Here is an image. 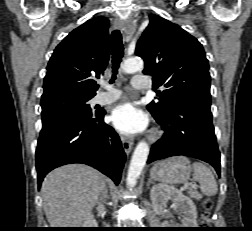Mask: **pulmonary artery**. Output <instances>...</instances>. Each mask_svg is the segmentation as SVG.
<instances>
[{
  "instance_id": "pulmonary-artery-1",
  "label": "pulmonary artery",
  "mask_w": 252,
  "mask_h": 231,
  "mask_svg": "<svg viewBox=\"0 0 252 231\" xmlns=\"http://www.w3.org/2000/svg\"><path fill=\"white\" fill-rule=\"evenodd\" d=\"M101 86L104 88H107V91L99 92L94 97L93 101L95 104H100V105L110 104L120 98L121 96L120 90L116 88H112V87H107L104 83H101ZM132 86L137 89H144L150 86V82L145 75L137 74L132 79Z\"/></svg>"
}]
</instances>
